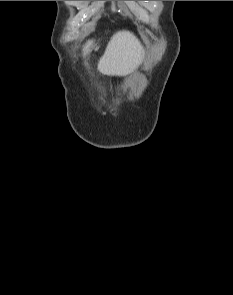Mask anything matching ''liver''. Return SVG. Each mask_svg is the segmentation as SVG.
<instances>
[{"label":"liver","mask_w":233,"mask_h":295,"mask_svg":"<svg viewBox=\"0 0 233 295\" xmlns=\"http://www.w3.org/2000/svg\"><path fill=\"white\" fill-rule=\"evenodd\" d=\"M94 41H88L83 47V57L86 58ZM144 50L138 39L129 31L115 33L108 43L103 56L100 58L97 70L103 75L123 76L138 68Z\"/></svg>","instance_id":"1"}]
</instances>
